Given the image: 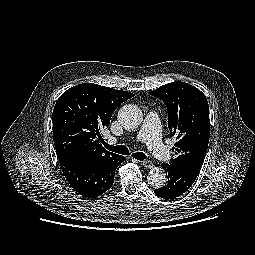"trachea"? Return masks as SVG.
Here are the masks:
<instances>
[{
  "label": "trachea",
  "instance_id": "trachea-1",
  "mask_svg": "<svg viewBox=\"0 0 255 255\" xmlns=\"http://www.w3.org/2000/svg\"><path fill=\"white\" fill-rule=\"evenodd\" d=\"M104 146L106 149L118 153V154H122V155H129V150L126 146L124 145H117V146H111L107 143H104ZM131 156L137 160L143 161L146 159V155L142 152H136V153H132Z\"/></svg>",
  "mask_w": 255,
  "mask_h": 255
}]
</instances>
